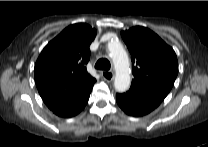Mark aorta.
I'll list each match as a JSON object with an SVG mask.
<instances>
[{
    "label": "aorta",
    "instance_id": "762f6f07",
    "mask_svg": "<svg viewBox=\"0 0 208 147\" xmlns=\"http://www.w3.org/2000/svg\"><path fill=\"white\" fill-rule=\"evenodd\" d=\"M108 49L116 71L114 87L117 92H125L131 83L128 55L120 42H110Z\"/></svg>",
    "mask_w": 208,
    "mask_h": 147
}]
</instances>
